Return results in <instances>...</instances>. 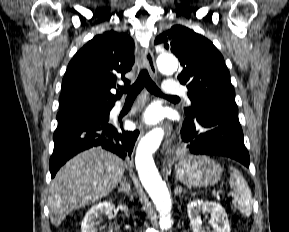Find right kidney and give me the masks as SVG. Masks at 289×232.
<instances>
[{
	"mask_svg": "<svg viewBox=\"0 0 289 232\" xmlns=\"http://www.w3.org/2000/svg\"><path fill=\"white\" fill-rule=\"evenodd\" d=\"M114 204L110 201H104L92 206L85 214L81 223V232H97V219L102 214H110L114 209ZM118 209L126 212L127 208L125 205H118Z\"/></svg>",
	"mask_w": 289,
	"mask_h": 232,
	"instance_id": "1",
	"label": "right kidney"
}]
</instances>
